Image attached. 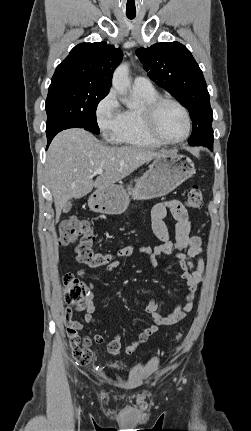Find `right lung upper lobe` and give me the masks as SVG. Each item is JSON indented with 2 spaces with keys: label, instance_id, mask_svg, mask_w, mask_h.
<instances>
[{
  "label": "right lung upper lobe",
  "instance_id": "1",
  "mask_svg": "<svg viewBox=\"0 0 251 431\" xmlns=\"http://www.w3.org/2000/svg\"><path fill=\"white\" fill-rule=\"evenodd\" d=\"M122 57L120 48L106 42L80 43L57 66L52 80L72 79L109 90L112 74Z\"/></svg>",
  "mask_w": 251,
  "mask_h": 431
}]
</instances>
